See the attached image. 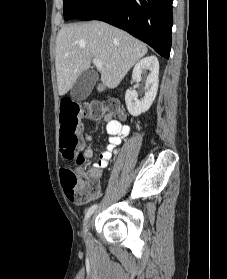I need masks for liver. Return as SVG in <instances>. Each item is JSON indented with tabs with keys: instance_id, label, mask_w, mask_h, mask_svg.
Wrapping results in <instances>:
<instances>
[{
	"instance_id": "liver-1",
	"label": "liver",
	"mask_w": 227,
	"mask_h": 279,
	"mask_svg": "<svg viewBox=\"0 0 227 279\" xmlns=\"http://www.w3.org/2000/svg\"><path fill=\"white\" fill-rule=\"evenodd\" d=\"M147 53V47L127 32L100 21L74 23L62 27L56 39L58 93L65 95L91 61L103 63L101 81L116 88L134 64Z\"/></svg>"
}]
</instances>
